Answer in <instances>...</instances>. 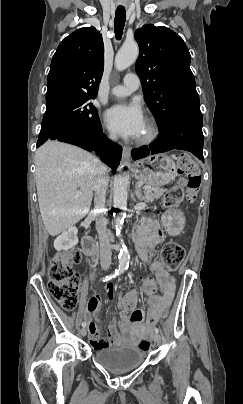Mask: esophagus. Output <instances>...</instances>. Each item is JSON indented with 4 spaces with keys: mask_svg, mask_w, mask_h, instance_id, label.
<instances>
[{
    "mask_svg": "<svg viewBox=\"0 0 243 404\" xmlns=\"http://www.w3.org/2000/svg\"><path fill=\"white\" fill-rule=\"evenodd\" d=\"M131 147L125 145L123 147V159L127 160L130 157Z\"/></svg>",
    "mask_w": 243,
    "mask_h": 404,
    "instance_id": "34e87169",
    "label": "esophagus"
}]
</instances>
